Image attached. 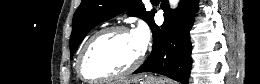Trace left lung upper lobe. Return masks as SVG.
I'll return each mask as SVG.
<instances>
[{
	"label": "left lung upper lobe",
	"instance_id": "1",
	"mask_svg": "<svg viewBox=\"0 0 260 84\" xmlns=\"http://www.w3.org/2000/svg\"><path fill=\"white\" fill-rule=\"evenodd\" d=\"M124 11L130 16L142 18L149 26L155 14V10L147 12L141 0H82L72 21L71 56L91 29Z\"/></svg>",
	"mask_w": 260,
	"mask_h": 84
}]
</instances>
